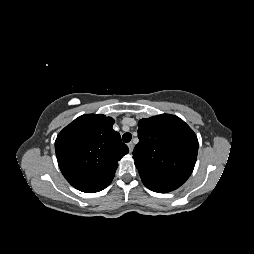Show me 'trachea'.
I'll return each instance as SVG.
<instances>
[{
  "mask_svg": "<svg viewBox=\"0 0 254 254\" xmlns=\"http://www.w3.org/2000/svg\"><path fill=\"white\" fill-rule=\"evenodd\" d=\"M132 139V135L130 133H124L123 136H122V140L125 142V143H128L130 142Z\"/></svg>",
  "mask_w": 254,
  "mask_h": 254,
  "instance_id": "trachea-1",
  "label": "trachea"
}]
</instances>
